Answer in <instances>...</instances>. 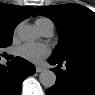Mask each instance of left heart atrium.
<instances>
[{
  "label": "left heart atrium",
  "instance_id": "obj_1",
  "mask_svg": "<svg viewBox=\"0 0 95 95\" xmlns=\"http://www.w3.org/2000/svg\"><path fill=\"white\" fill-rule=\"evenodd\" d=\"M20 57L32 63H39L48 56L49 48L44 44L25 43L18 49Z\"/></svg>",
  "mask_w": 95,
  "mask_h": 95
}]
</instances>
